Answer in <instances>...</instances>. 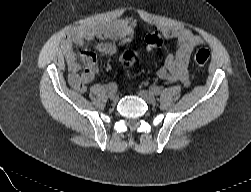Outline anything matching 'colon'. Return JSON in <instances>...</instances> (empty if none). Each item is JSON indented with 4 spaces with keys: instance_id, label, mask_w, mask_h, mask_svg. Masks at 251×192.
<instances>
[{
    "instance_id": "obj_1",
    "label": "colon",
    "mask_w": 251,
    "mask_h": 192,
    "mask_svg": "<svg viewBox=\"0 0 251 192\" xmlns=\"http://www.w3.org/2000/svg\"><path fill=\"white\" fill-rule=\"evenodd\" d=\"M145 43L148 47H159L163 43V38L162 36L157 33H149L145 37ZM210 57V52L206 48H199L197 49L194 54H193V60L194 62L202 66L207 63ZM120 62L123 68L128 69L132 67V65L135 62V54L132 50H125L120 57Z\"/></svg>"
}]
</instances>
